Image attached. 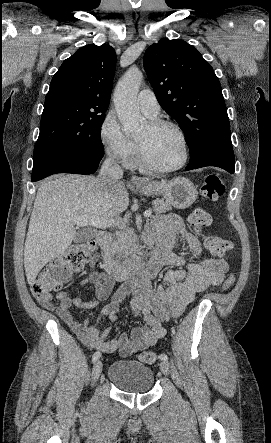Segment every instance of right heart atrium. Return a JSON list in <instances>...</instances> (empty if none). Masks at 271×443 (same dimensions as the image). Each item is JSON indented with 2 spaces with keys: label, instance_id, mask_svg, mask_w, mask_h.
I'll use <instances>...</instances> for the list:
<instances>
[{
  "label": "right heart atrium",
  "instance_id": "obj_1",
  "mask_svg": "<svg viewBox=\"0 0 271 443\" xmlns=\"http://www.w3.org/2000/svg\"><path fill=\"white\" fill-rule=\"evenodd\" d=\"M99 141L105 152L122 162L127 161L135 151V143L122 130L113 112H108L98 129Z\"/></svg>",
  "mask_w": 271,
  "mask_h": 443
}]
</instances>
